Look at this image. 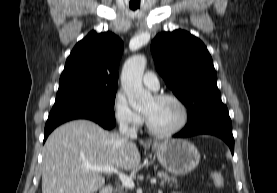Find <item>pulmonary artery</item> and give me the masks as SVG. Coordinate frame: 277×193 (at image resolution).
<instances>
[{
  "label": "pulmonary artery",
  "instance_id": "1",
  "mask_svg": "<svg viewBox=\"0 0 277 193\" xmlns=\"http://www.w3.org/2000/svg\"><path fill=\"white\" fill-rule=\"evenodd\" d=\"M143 83L152 90H158L159 88V79L157 75L151 71H147L143 75Z\"/></svg>",
  "mask_w": 277,
  "mask_h": 193
}]
</instances>
